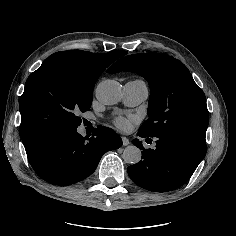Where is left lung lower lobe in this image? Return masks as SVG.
<instances>
[{
	"label": "left lung lower lobe",
	"mask_w": 236,
	"mask_h": 236,
	"mask_svg": "<svg viewBox=\"0 0 236 236\" xmlns=\"http://www.w3.org/2000/svg\"><path fill=\"white\" fill-rule=\"evenodd\" d=\"M140 137L149 136L138 134ZM156 148L144 149L142 141L132 143L142 149V159L127 168L130 178L140 187L167 192L179 188L194 173L206 154V142L190 136L163 132L153 136Z\"/></svg>",
	"instance_id": "0a47b994"
}]
</instances>
